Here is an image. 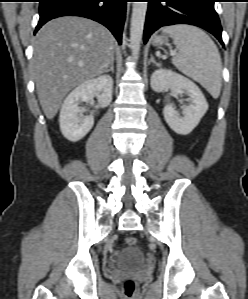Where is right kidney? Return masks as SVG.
Masks as SVG:
<instances>
[{
  "mask_svg": "<svg viewBox=\"0 0 248 299\" xmlns=\"http://www.w3.org/2000/svg\"><path fill=\"white\" fill-rule=\"evenodd\" d=\"M112 89V77L101 75L81 83L69 93L59 116L60 129L65 138L72 142L79 141L94 125L92 115L84 118L81 116L79 102H90L97 97L99 106L106 107L112 101Z\"/></svg>",
  "mask_w": 248,
  "mask_h": 299,
  "instance_id": "obj_1",
  "label": "right kidney"
}]
</instances>
